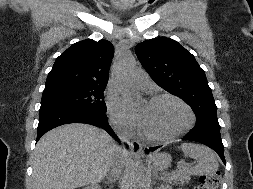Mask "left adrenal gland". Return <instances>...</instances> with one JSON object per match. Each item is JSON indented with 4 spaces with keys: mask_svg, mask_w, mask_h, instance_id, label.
<instances>
[{
    "mask_svg": "<svg viewBox=\"0 0 253 189\" xmlns=\"http://www.w3.org/2000/svg\"><path fill=\"white\" fill-rule=\"evenodd\" d=\"M155 179H159V177H158V174L157 173H155Z\"/></svg>",
    "mask_w": 253,
    "mask_h": 189,
    "instance_id": "left-adrenal-gland-1",
    "label": "left adrenal gland"
}]
</instances>
